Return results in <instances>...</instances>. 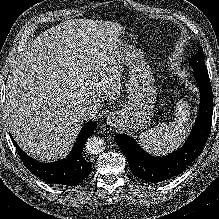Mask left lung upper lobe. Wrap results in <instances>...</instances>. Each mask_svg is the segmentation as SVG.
I'll use <instances>...</instances> for the list:
<instances>
[{
    "mask_svg": "<svg viewBox=\"0 0 219 219\" xmlns=\"http://www.w3.org/2000/svg\"><path fill=\"white\" fill-rule=\"evenodd\" d=\"M189 64L191 65V67L193 69L207 71V68H206L205 62H204L202 47H200L199 50L197 51V53L191 57V59L189 60Z\"/></svg>",
    "mask_w": 219,
    "mask_h": 219,
    "instance_id": "obj_1",
    "label": "left lung upper lobe"
}]
</instances>
